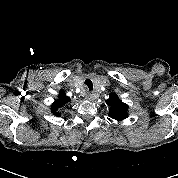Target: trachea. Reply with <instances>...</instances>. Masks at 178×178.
I'll return each mask as SVG.
<instances>
[{"mask_svg": "<svg viewBox=\"0 0 178 178\" xmlns=\"http://www.w3.org/2000/svg\"><path fill=\"white\" fill-rule=\"evenodd\" d=\"M85 86L89 91L93 90V83L90 79L85 80Z\"/></svg>", "mask_w": 178, "mask_h": 178, "instance_id": "trachea-1", "label": "trachea"}]
</instances>
